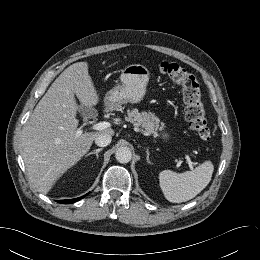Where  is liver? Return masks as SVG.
I'll list each match as a JSON object with an SVG mask.
<instances>
[{"label":"liver","instance_id":"6515ba94","mask_svg":"<svg viewBox=\"0 0 260 260\" xmlns=\"http://www.w3.org/2000/svg\"><path fill=\"white\" fill-rule=\"evenodd\" d=\"M75 96L84 107L92 108L99 102L87 62L74 63L59 75L22 130L27 175L41 193H48L55 181L88 152L98 134H114L111 128L79 134Z\"/></svg>","mask_w":260,"mask_h":260}]
</instances>
